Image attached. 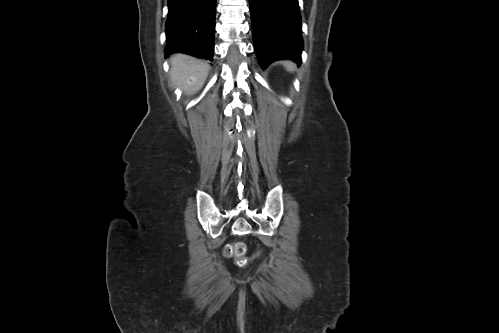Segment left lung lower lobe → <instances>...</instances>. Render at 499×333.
<instances>
[{
	"mask_svg": "<svg viewBox=\"0 0 499 333\" xmlns=\"http://www.w3.org/2000/svg\"><path fill=\"white\" fill-rule=\"evenodd\" d=\"M253 41L263 69L292 59L300 64L303 40L298 0H249Z\"/></svg>",
	"mask_w": 499,
	"mask_h": 333,
	"instance_id": "0a47b994",
	"label": "left lung lower lobe"
}]
</instances>
